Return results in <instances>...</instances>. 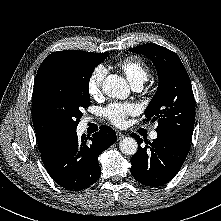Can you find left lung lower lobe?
I'll return each mask as SVG.
<instances>
[{
  "instance_id": "obj_1",
  "label": "left lung lower lobe",
  "mask_w": 221,
  "mask_h": 221,
  "mask_svg": "<svg viewBox=\"0 0 221 221\" xmlns=\"http://www.w3.org/2000/svg\"><path fill=\"white\" fill-rule=\"evenodd\" d=\"M139 148L131 158V173L147 186H162L172 180L182 167L190 149V142L177 135L158 133L152 143L140 146L142 138L135 133Z\"/></svg>"
}]
</instances>
